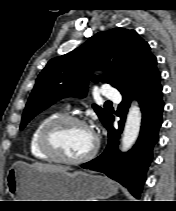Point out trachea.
Returning <instances> with one entry per match:
<instances>
[{
    "label": "trachea",
    "instance_id": "3493384b",
    "mask_svg": "<svg viewBox=\"0 0 176 211\" xmlns=\"http://www.w3.org/2000/svg\"><path fill=\"white\" fill-rule=\"evenodd\" d=\"M106 103H107V104H112V102H110V101H107Z\"/></svg>",
    "mask_w": 176,
    "mask_h": 211
}]
</instances>
